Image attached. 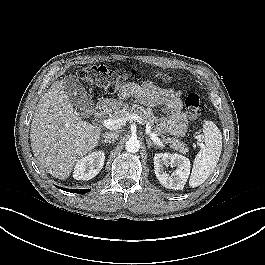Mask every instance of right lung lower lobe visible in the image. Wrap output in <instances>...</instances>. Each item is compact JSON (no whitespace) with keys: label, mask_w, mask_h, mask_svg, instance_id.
<instances>
[{"label":"right lung lower lobe","mask_w":265,"mask_h":265,"mask_svg":"<svg viewBox=\"0 0 265 265\" xmlns=\"http://www.w3.org/2000/svg\"><path fill=\"white\" fill-rule=\"evenodd\" d=\"M59 188H61L64 191H67V192L81 193V194L87 193V192L90 191V189H81V190H79V189H67V188H62V187H59Z\"/></svg>","instance_id":"obj_1"}]
</instances>
